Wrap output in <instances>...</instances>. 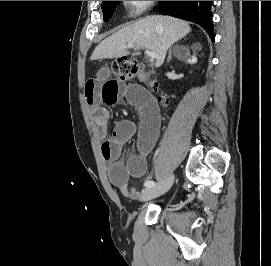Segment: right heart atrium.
<instances>
[{
    "instance_id": "d8ad5b80",
    "label": "right heart atrium",
    "mask_w": 271,
    "mask_h": 266,
    "mask_svg": "<svg viewBox=\"0 0 271 266\" xmlns=\"http://www.w3.org/2000/svg\"><path fill=\"white\" fill-rule=\"evenodd\" d=\"M130 15L135 16L147 10L154 1H123Z\"/></svg>"
}]
</instances>
